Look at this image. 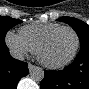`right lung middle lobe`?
I'll use <instances>...</instances> for the list:
<instances>
[{
    "label": "right lung middle lobe",
    "mask_w": 89,
    "mask_h": 89,
    "mask_svg": "<svg viewBox=\"0 0 89 89\" xmlns=\"http://www.w3.org/2000/svg\"><path fill=\"white\" fill-rule=\"evenodd\" d=\"M21 23L20 20L8 16H0V46L5 44V35L13 26Z\"/></svg>",
    "instance_id": "dd1d6c3e"
}]
</instances>
